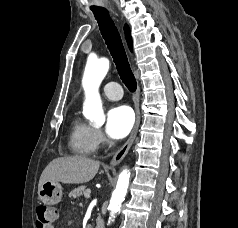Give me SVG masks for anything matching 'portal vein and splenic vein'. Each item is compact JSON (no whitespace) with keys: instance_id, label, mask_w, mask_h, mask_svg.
I'll return each instance as SVG.
<instances>
[{"instance_id":"portal-vein-and-splenic-vein-1","label":"portal vein and splenic vein","mask_w":238,"mask_h":228,"mask_svg":"<svg viewBox=\"0 0 238 228\" xmlns=\"http://www.w3.org/2000/svg\"><path fill=\"white\" fill-rule=\"evenodd\" d=\"M90 193H91V191H90V190H88V191L85 193V195H84V196H85L86 198H90Z\"/></svg>"}]
</instances>
